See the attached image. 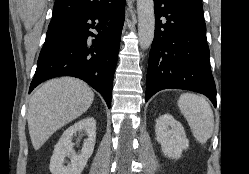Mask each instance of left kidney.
Masks as SVG:
<instances>
[{
    "label": "left kidney",
    "mask_w": 249,
    "mask_h": 174,
    "mask_svg": "<svg viewBox=\"0 0 249 174\" xmlns=\"http://www.w3.org/2000/svg\"><path fill=\"white\" fill-rule=\"evenodd\" d=\"M155 133L162 152L168 158L178 159L189 146L184 127L170 114L156 119Z\"/></svg>",
    "instance_id": "1"
}]
</instances>
